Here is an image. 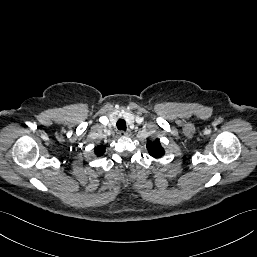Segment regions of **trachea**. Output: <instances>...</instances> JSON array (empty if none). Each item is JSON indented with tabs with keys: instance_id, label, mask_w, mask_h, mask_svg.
Instances as JSON below:
<instances>
[{
	"instance_id": "trachea-1",
	"label": "trachea",
	"mask_w": 257,
	"mask_h": 257,
	"mask_svg": "<svg viewBox=\"0 0 257 257\" xmlns=\"http://www.w3.org/2000/svg\"><path fill=\"white\" fill-rule=\"evenodd\" d=\"M116 125L119 130L126 131V122L123 119H119Z\"/></svg>"
}]
</instances>
